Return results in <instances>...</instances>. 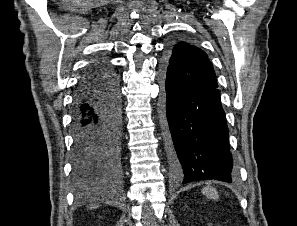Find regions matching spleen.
<instances>
[{
	"label": "spleen",
	"instance_id": "3e777b00",
	"mask_svg": "<svg viewBox=\"0 0 297 226\" xmlns=\"http://www.w3.org/2000/svg\"><path fill=\"white\" fill-rule=\"evenodd\" d=\"M202 193L206 197H208L210 199H213V200H218L219 199V195H218V193H217V191H216V189L214 187H209V186L208 187H204L202 189Z\"/></svg>",
	"mask_w": 297,
	"mask_h": 226
}]
</instances>
